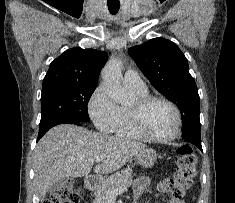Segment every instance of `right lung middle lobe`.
Here are the masks:
<instances>
[{"label":"right lung middle lobe","instance_id":"1","mask_svg":"<svg viewBox=\"0 0 235 203\" xmlns=\"http://www.w3.org/2000/svg\"><path fill=\"white\" fill-rule=\"evenodd\" d=\"M97 84L61 83L42 87L39 127L59 120L89 122L88 101Z\"/></svg>","mask_w":235,"mask_h":203}]
</instances>
